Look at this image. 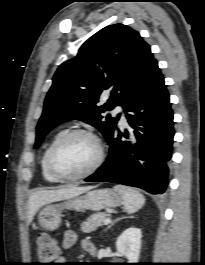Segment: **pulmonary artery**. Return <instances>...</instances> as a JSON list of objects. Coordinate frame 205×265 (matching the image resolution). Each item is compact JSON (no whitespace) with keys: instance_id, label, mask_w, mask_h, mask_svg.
<instances>
[{"instance_id":"e3ab8cb5","label":"pulmonary artery","mask_w":205,"mask_h":265,"mask_svg":"<svg viewBox=\"0 0 205 265\" xmlns=\"http://www.w3.org/2000/svg\"><path fill=\"white\" fill-rule=\"evenodd\" d=\"M114 113L120 115V122L122 125L127 124L126 116L124 109L121 106H116L114 109Z\"/></svg>"}]
</instances>
